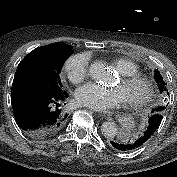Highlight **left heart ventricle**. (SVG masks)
I'll use <instances>...</instances> for the list:
<instances>
[{
	"mask_svg": "<svg viewBox=\"0 0 177 177\" xmlns=\"http://www.w3.org/2000/svg\"><path fill=\"white\" fill-rule=\"evenodd\" d=\"M114 86L121 90L125 100L138 98L143 94V87L141 85L122 83L120 78L116 80Z\"/></svg>",
	"mask_w": 177,
	"mask_h": 177,
	"instance_id": "left-heart-ventricle-1",
	"label": "left heart ventricle"
}]
</instances>
